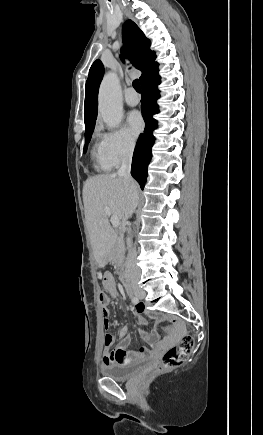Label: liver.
<instances>
[{"label": "liver", "instance_id": "liver-1", "mask_svg": "<svg viewBox=\"0 0 263 435\" xmlns=\"http://www.w3.org/2000/svg\"><path fill=\"white\" fill-rule=\"evenodd\" d=\"M126 201V184L123 177L103 174L90 177L84 183L85 220L97 264L109 257L116 241V234L107 219L105 208H108L112 215L125 220Z\"/></svg>", "mask_w": 263, "mask_h": 435}]
</instances>
